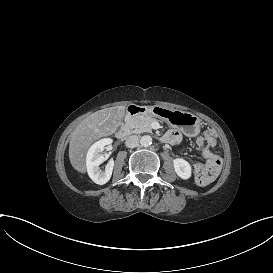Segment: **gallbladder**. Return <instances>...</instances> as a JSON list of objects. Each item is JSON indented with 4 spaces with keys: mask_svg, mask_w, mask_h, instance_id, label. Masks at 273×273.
<instances>
[{
    "mask_svg": "<svg viewBox=\"0 0 273 273\" xmlns=\"http://www.w3.org/2000/svg\"><path fill=\"white\" fill-rule=\"evenodd\" d=\"M120 112H121V113L119 114V117H120V118H124V117H125V114H124L125 109H124V108H121V109H120Z\"/></svg>",
    "mask_w": 273,
    "mask_h": 273,
    "instance_id": "gallbladder-1",
    "label": "gallbladder"
}]
</instances>
